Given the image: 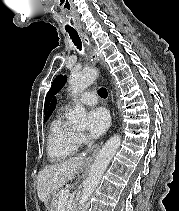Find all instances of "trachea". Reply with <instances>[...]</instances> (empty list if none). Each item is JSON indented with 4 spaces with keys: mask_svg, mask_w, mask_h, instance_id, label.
I'll use <instances>...</instances> for the list:
<instances>
[{
    "mask_svg": "<svg viewBox=\"0 0 179 211\" xmlns=\"http://www.w3.org/2000/svg\"><path fill=\"white\" fill-rule=\"evenodd\" d=\"M71 40L73 41L74 45L81 50L82 48V44H81V39L77 33V31H67ZM99 95L102 98H106L107 97V90L105 88H100L99 89Z\"/></svg>",
    "mask_w": 179,
    "mask_h": 211,
    "instance_id": "trachea-1",
    "label": "trachea"
}]
</instances>
